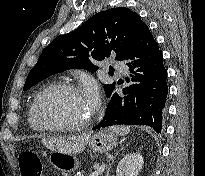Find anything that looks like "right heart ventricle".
I'll use <instances>...</instances> for the list:
<instances>
[{
	"mask_svg": "<svg viewBox=\"0 0 205 176\" xmlns=\"http://www.w3.org/2000/svg\"><path fill=\"white\" fill-rule=\"evenodd\" d=\"M34 99H35V97H34ZM34 99L30 103V106H29V109H28V122L34 130L41 131L42 129H40L39 127L36 126V124L34 123V121L32 119V116H31V108H32V104H33Z\"/></svg>",
	"mask_w": 205,
	"mask_h": 176,
	"instance_id": "1",
	"label": "right heart ventricle"
}]
</instances>
